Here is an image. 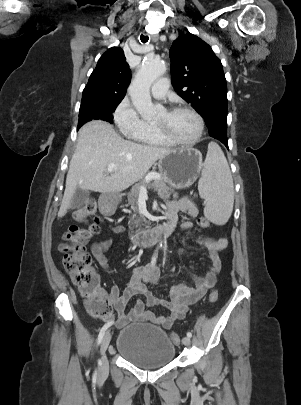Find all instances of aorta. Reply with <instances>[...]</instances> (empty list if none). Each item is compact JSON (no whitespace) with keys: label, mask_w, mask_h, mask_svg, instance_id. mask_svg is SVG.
Listing matches in <instances>:
<instances>
[{"label":"aorta","mask_w":301,"mask_h":405,"mask_svg":"<svg viewBox=\"0 0 301 405\" xmlns=\"http://www.w3.org/2000/svg\"><path fill=\"white\" fill-rule=\"evenodd\" d=\"M166 71V65L158 59H146L140 70L135 75L130 87L129 94L132 103L138 113L146 117L155 111L150 96L152 83Z\"/></svg>","instance_id":"aorta-1"}]
</instances>
